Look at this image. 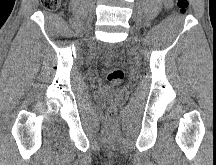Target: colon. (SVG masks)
<instances>
[{
    "instance_id": "obj_1",
    "label": "colon",
    "mask_w": 216,
    "mask_h": 165,
    "mask_svg": "<svg viewBox=\"0 0 216 165\" xmlns=\"http://www.w3.org/2000/svg\"><path fill=\"white\" fill-rule=\"evenodd\" d=\"M41 3L44 7L48 9H57L61 3V0H41ZM176 7L180 14H185L189 7V0H176ZM106 77L108 82L112 86H119L122 84L125 74L122 69L119 68H110L106 72ZM116 115V110L110 108L108 111V116L110 120H113Z\"/></svg>"
}]
</instances>
